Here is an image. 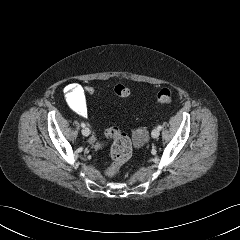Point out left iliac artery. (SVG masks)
<instances>
[{"label":"left iliac artery","mask_w":240,"mask_h":240,"mask_svg":"<svg viewBox=\"0 0 240 240\" xmlns=\"http://www.w3.org/2000/svg\"><path fill=\"white\" fill-rule=\"evenodd\" d=\"M157 129H158V130H161V129H162V126H161V125H158Z\"/></svg>","instance_id":"44dca946"}]
</instances>
